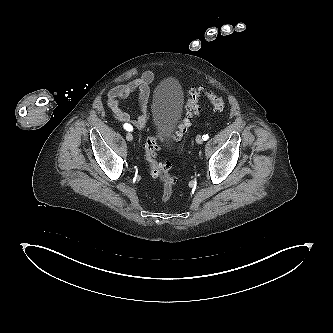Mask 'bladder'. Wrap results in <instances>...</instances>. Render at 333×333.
Returning a JSON list of instances; mask_svg holds the SVG:
<instances>
[{
    "label": "bladder",
    "mask_w": 333,
    "mask_h": 333,
    "mask_svg": "<svg viewBox=\"0 0 333 333\" xmlns=\"http://www.w3.org/2000/svg\"><path fill=\"white\" fill-rule=\"evenodd\" d=\"M184 103L180 82L174 77L161 80L154 91L151 117L153 124L167 133L178 121Z\"/></svg>",
    "instance_id": "bladder-1"
}]
</instances>
